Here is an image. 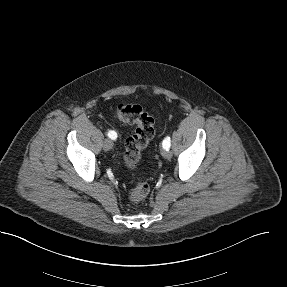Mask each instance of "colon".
Segmentation results:
<instances>
[{"label":"colon","instance_id":"colon-1","mask_svg":"<svg viewBox=\"0 0 287 287\" xmlns=\"http://www.w3.org/2000/svg\"><path fill=\"white\" fill-rule=\"evenodd\" d=\"M116 117L125 123L133 124L136 130L125 142L124 162L133 170L141 159L143 149L154 136V119L141 106L121 104L116 109ZM149 193V185L144 181H137L130 191L133 202L142 201Z\"/></svg>","mask_w":287,"mask_h":287}]
</instances>
